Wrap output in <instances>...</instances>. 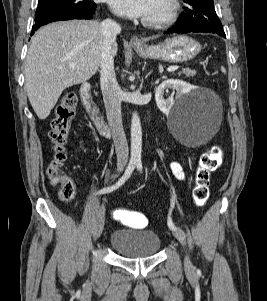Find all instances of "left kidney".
I'll return each instance as SVG.
<instances>
[{"instance_id": "left-kidney-1", "label": "left kidney", "mask_w": 267, "mask_h": 301, "mask_svg": "<svg viewBox=\"0 0 267 301\" xmlns=\"http://www.w3.org/2000/svg\"><path fill=\"white\" fill-rule=\"evenodd\" d=\"M166 89L176 90V97H181L182 95L190 93L194 89V87L181 80L169 79L162 82L156 89L155 100L158 108L163 113H169L172 106L174 105L173 97H170L167 100L164 99L163 94Z\"/></svg>"}]
</instances>
